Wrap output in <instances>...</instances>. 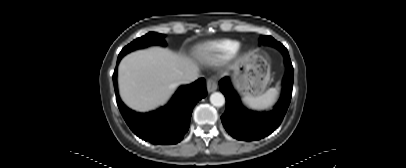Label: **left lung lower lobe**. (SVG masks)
I'll return each mask as SVG.
<instances>
[{
  "instance_id": "1",
  "label": "left lung lower lobe",
  "mask_w": 406,
  "mask_h": 168,
  "mask_svg": "<svg viewBox=\"0 0 406 168\" xmlns=\"http://www.w3.org/2000/svg\"><path fill=\"white\" fill-rule=\"evenodd\" d=\"M281 52L286 65L282 94L273 110L269 112L246 109L242 106L230 78L224 77L219 81L220 90L226 98V109L221 121L232 137L244 141L259 140L271 134L281 124L291 100L293 86V67L289 53L287 50Z\"/></svg>"
}]
</instances>
